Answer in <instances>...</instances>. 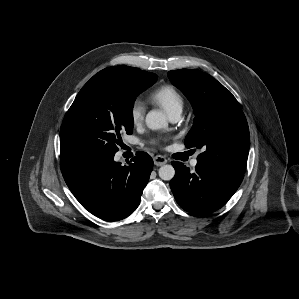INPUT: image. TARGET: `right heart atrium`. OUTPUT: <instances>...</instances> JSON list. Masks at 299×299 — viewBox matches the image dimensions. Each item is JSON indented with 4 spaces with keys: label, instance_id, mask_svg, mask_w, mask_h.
I'll list each match as a JSON object with an SVG mask.
<instances>
[{
    "label": "right heart atrium",
    "instance_id": "right-heart-atrium-1",
    "mask_svg": "<svg viewBox=\"0 0 299 299\" xmlns=\"http://www.w3.org/2000/svg\"><path fill=\"white\" fill-rule=\"evenodd\" d=\"M145 116V105L139 100L135 99L132 101L129 108V117L134 126H139L144 121Z\"/></svg>",
    "mask_w": 299,
    "mask_h": 299
}]
</instances>
